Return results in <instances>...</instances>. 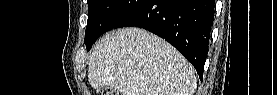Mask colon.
<instances>
[{
	"label": "colon",
	"instance_id": "1",
	"mask_svg": "<svg viewBox=\"0 0 277 95\" xmlns=\"http://www.w3.org/2000/svg\"><path fill=\"white\" fill-rule=\"evenodd\" d=\"M111 91H112V90H111L110 88H107V89L104 91V93H102V94L108 95V94H110Z\"/></svg>",
	"mask_w": 277,
	"mask_h": 95
}]
</instances>
